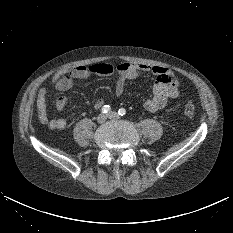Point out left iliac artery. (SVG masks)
<instances>
[{"label": "left iliac artery", "mask_w": 233, "mask_h": 233, "mask_svg": "<svg viewBox=\"0 0 233 233\" xmlns=\"http://www.w3.org/2000/svg\"><path fill=\"white\" fill-rule=\"evenodd\" d=\"M118 113H119L120 116H124L126 114V110L124 108H120L118 110Z\"/></svg>", "instance_id": "44dca946"}]
</instances>
